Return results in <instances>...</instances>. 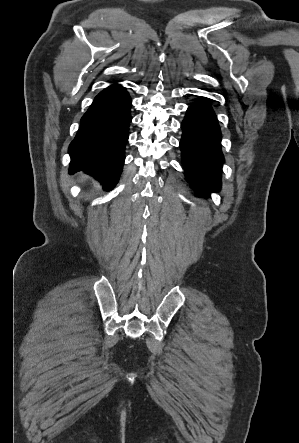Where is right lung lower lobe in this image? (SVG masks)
I'll use <instances>...</instances> for the list:
<instances>
[{"mask_svg":"<svg viewBox=\"0 0 299 443\" xmlns=\"http://www.w3.org/2000/svg\"><path fill=\"white\" fill-rule=\"evenodd\" d=\"M131 104L126 89L117 84L95 97L69 146L70 173L82 170L107 191L116 185L125 160Z\"/></svg>","mask_w":299,"mask_h":443,"instance_id":"right-lung-lower-lobe-1","label":"right lung lower lobe"}]
</instances>
